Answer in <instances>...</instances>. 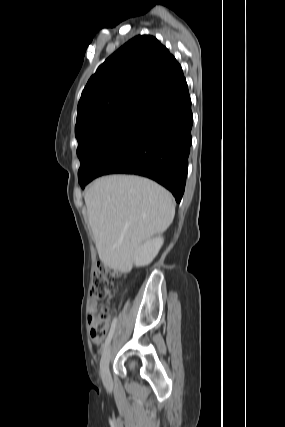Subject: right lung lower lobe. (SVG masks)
Returning a JSON list of instances; mask_svg holds the SVG:
<instances>
[{"label":"right lung lower lobe","mask_w":285,"mask_h":427,"mask_svg":"<svg viewBox=\"0 0 285 427\" xmlns=\"http://www.w3.org/2000/svg\"><path fill=\"white\" fill-rule=\"evenodd\" d=\"M192 123L191 99L183 76L146 103L91 177L80 183L81 187L104 174H136L163 185L180 202L188 171Z\"/></svg>","instance_id":"obj_1"}]
</instances>
